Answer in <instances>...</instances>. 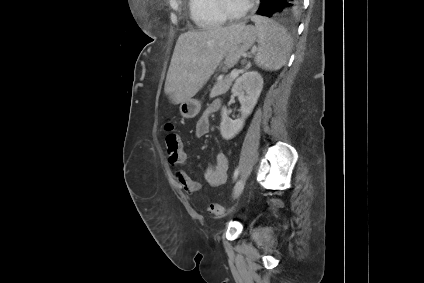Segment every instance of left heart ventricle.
<instances>
[{
  "label": "left heart ventricle",
  "mask_w": 424,
  "mask_h": 283,
  "mask_svg": "<svg viewBox=\"0 0 424 283\" xmlns=\"http://www.w3.org/2000/svg\"><path fill=\"white\" fill-rule=\"evenodd\" d=\"M225 1L229 9L232 10L233 12L243 11L249 2L248 0H225Z\"/></svg>",
  "instance_id": "1"
}]
</instances>
